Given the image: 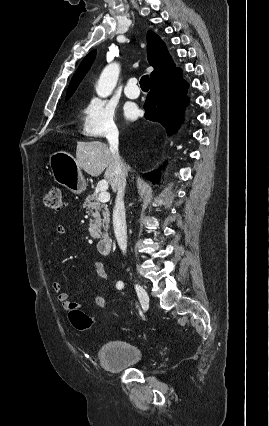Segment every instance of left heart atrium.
Returning a JSON list of instances; mask_svg holds the SVG:
<instances>
[{
	"label": "left heart atrium",
	"mask_w": 269,
	"mask_h": 426,
	"mask_svg": "<svg viewBox=\"0 0 269 426\" xmlns=\"http://www.w3.org/2000/svg\"><path fill=\"white\" fill-rule=\"evenodd\" d=\"M138 114V109L136 107V105L132 104V103H128L125 105L124 107V115L126 118L128 119H133L137 116Z\"/></svg>",
	"instance_id": "39dd6f15"
}]
</instances>
